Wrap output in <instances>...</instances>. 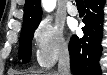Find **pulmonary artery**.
Listing matches in <instances>:
<instances>
[{"label":"pulmonary artery","instance_id":"1","mask_svg":"<svg viewBox=\"0 0 107 75\" xmlns=\"http://www.w3.org/2000/svg\"><path fill=\"white\" fill-rule=\"evenodd\" d=\"M67 10H68V13L72 16H76L78 14L77 7L74 4H72L71 2L68 3Z\"/></svg>","mask_w":107,"mask_h":75}]
</instances>
